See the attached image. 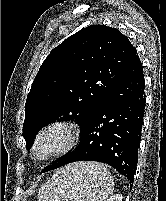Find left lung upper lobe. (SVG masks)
<instances>
[{"mask_svg": "<svg viewBox=\"0 0 166 201\" xmlns=\"http://www.w3.org/2000/svg\"><path fill=\"white\" fill-rule=\"evenodd\" d=\"M136 54L127 36L105 25L88 26L54 48L27 96L26 148L51 121H75L82 128Z\"/></svg>", "mask_w": 166, "mask_h": 201, "instance_id": "obj_1", "label": "left lung upper lobe"}]
</instances>
